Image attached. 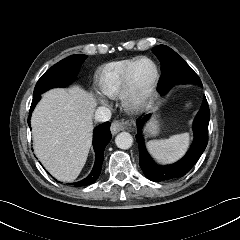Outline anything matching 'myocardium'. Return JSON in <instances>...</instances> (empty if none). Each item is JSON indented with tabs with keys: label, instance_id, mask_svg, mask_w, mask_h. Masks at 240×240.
<instances>
[{
	"label": "myocardium",
	"instance_id": "f54148a6",
	"mask_svg": "<svg viewBox=\"0 0 240 240\" xmlns=\"http://www.w3.org/2000/svg\"><path fill=\"white\" fill-rule=\"evenodd\" d=\"M142 61H148L152 64L154 74L148 88L139 91L134 87L132 79L136 67ZM159 79H160L159 68L154 60L146 56L137 58L128 68L123 79V87L121 92V100L123 107L130 112H138L149 106L156 94Z\"/></svg>",
	"mask_w": 240,
	"mask_h": 240
}]
</instances>
